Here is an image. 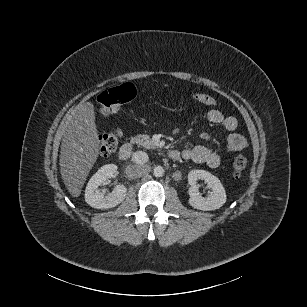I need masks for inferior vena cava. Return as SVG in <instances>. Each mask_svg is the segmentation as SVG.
<instances>
[{"label": "inferior vena cava", "instance_id": "obj_1", "mask_svg": "<svg viewBox=\"0 0 307 307\" xmlns=\"http://www.w3.org/2000/svg\"><path fill=\"white\" fill-rule=\"evenodd\" d=\"M148 160H149V157L147 153L143 151H136L132 155V161L136 164H144V163H147Z\"/></svg>", "mask_w": 307, "mask_h": 307}]
</instances>
